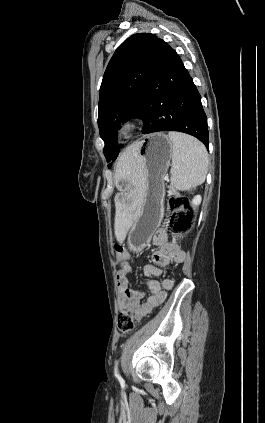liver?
I'll list each match as a JSON object with an SVG mask.
<instances>
[{
	"label": "liver",
	"mask_w": 265,
	"mask_h": 423,
	"mask_svg": "<svg viewBox=\"0 0 265 423\" xmlns=\"http://www.w3.org/2000/svg\"><path fill=\"white\" fill-rule=\"evenodd\" d=\"M138 149V142L127 147L119 156L116 164L115 181L117 189L121 192L123 191L122 185L119 184L121 181L134 186V191L126 193L124 200L119 199V195L115 197L114 232L119 243H123L130 227L140 212L142 201L140 191L144 180L140 164L137 162Z\"/></svg>",
	"instance_id": "6515ba94"
}]
</instances>
